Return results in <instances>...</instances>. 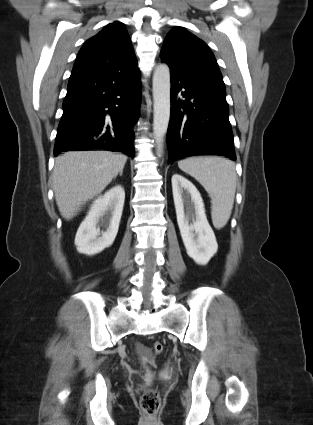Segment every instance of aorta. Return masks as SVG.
<instances>
[{"mask_svg":"<svg viewBox=\"0 0 313 425\" xmlns=\"http://www.w3.org/2000/svg\"><path fill=\"white\" fill-rule=\"evenodd\" d=\"M170 69L166 64L156 66L153 73V134L161 154L164 136L170 119Z\"/></svg>","mask_w":313,"mask_h":425,"instance_id":"aorta-1","label":"aorta"}]
</instances>
